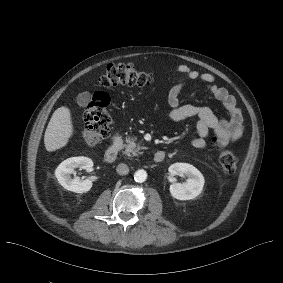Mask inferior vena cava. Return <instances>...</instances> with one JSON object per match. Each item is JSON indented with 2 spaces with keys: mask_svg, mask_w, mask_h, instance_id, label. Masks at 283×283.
Masks as SVG:
<instances>
[{
  "mask_svg": "<svg viewBox=\"0 0 283 283\" xmlns=\"http://www.w3.org/2000/svg\"><path fill=\"white\" fill-rule=\"evenodd\" d=\"M119 175H127L129 173V167L126 164H119L116 168Z\"/></svg>",
  "mask_w": 283,
  "mask_h": 283,
  "instance_id": "obj_1",
  "label": "inferior vena cava"
}]
</instances>
